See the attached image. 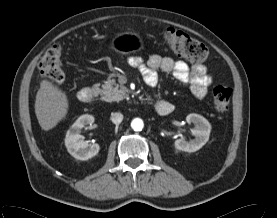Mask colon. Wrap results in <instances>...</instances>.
<instances>
[{
  "mask_svg": "<svg viewBox=\"0 0 277 218\" xmlns=\"http://www.w3.org/2000/svg\"><path fill=\"white\" fill-rule=\"evenodd\" d=\"M166 45L177 55L190 62H203L208 58V49L200 41L190 37L184 32L168 29L163 33ZM39 70L43 78L54 83H62L65 73L62 68V46L53 44L42 56ZM232 96V89L218 85L213 89V107L218 112L227 110Z\"/></svg>",
  "mask_w": 277,
  "mask_h": 218,
  "instance_id": "obj_1",
  "label": "colon"
}]
</instances>
